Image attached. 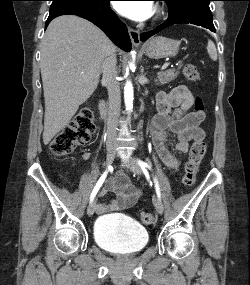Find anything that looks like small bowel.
<instances>
[{"mask_svg": "<svg viewBox=\"0 0 250 285\" xmlns=\"http://www.w3.org/2000/svg\"><path fill=\"white\" fill-rule=\"evenodd\" d=\"M194 103L195 98L186 86L159 92L156 97L158 112L151 124V138L161 161L174 170L180 166V162L170 148L169 135L176 136L174 150L179 153H186L191 141L204 139V132L199 127L204 114L192 111ZM108 189L116 198L108 203L97 204L95 209L98 214L129 208L140 197V190L133 187L122 173L109 183Z\"/></svg>", "mask_w": 250, "mask_h": 285, "instance_id": "obj_1", "label": "small bowel"}]
</instances>
